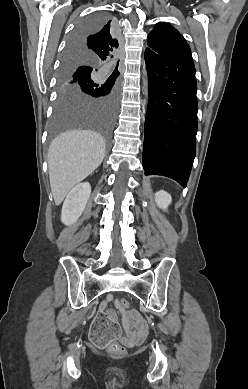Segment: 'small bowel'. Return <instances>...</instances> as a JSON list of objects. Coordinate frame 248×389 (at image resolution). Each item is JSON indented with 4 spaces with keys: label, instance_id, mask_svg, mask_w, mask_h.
Returning <instances> with one entry per match:
<instances>
[{
    "label": "small bowel",
    "instance_id": "1",
    "mask_svg": "<svg viewBox=\"0 0 248 389\" xmlns=\"http://www.w3.org/2000/svg\"><path fill=\"white\" fill-rule=\"evenodd\" d=\"M115 301L116 306L121 312L123 329L126 336L121 337V340L128 345L139 343L146 335L147 327L141 315L137 311H124L118 304V300L112 295L108 294L106 300L100 305V309L104 311L108 303ZM108 316L116 319V314L112 311L108 312Z\"/></svg>",
    "mask_w": 248,
    "mask_h": 389
}]
</instances>
